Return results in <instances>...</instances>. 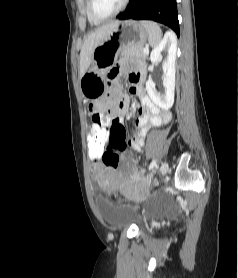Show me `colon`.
I'll list each match as a JSON object with an SVG mask.
<instances>
[{"mask_svg": "<svg viewBox=\"0 0 238 278\" xmlns=\"http://www.w3.org/2000/svg\"><path fill=\"white\" fill-rule=\"evenodd\" d=\"M110 127H118L115 119L111 120ZM89 128L99 129L100 125L90 124ZM87 135H95L86 137V142H89L90 145L88 158L92 162L101 158L105 166L115 168L118 165L120 154L126 149V143L123 142L125 137L107 138L103 130H87Z\"/></svg>", "mask_w": 238, "mask_h": 278, "instance_id": "colon-1", "label": "colon"}]
</instances>
